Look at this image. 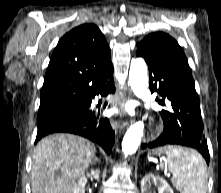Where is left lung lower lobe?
Instances as JSON below:
<instances>
[{
	"label": "left lung lower lobe",
	"instance_id": "left-lung-lower-lobe-1",
	"mask_svg": "<svg viewBox=\"0 0 221 193\" xmlns=\"http://www.w3.org/2000/svg\"><path fill=\"white\" fill-rule=\"evenodd\" d=\"M136 55L148 64L152 92L159 91L162 100L171 101L174 112L162 111L163 133L153 142L141 148H160L166 145H181L197 149L209 165V150L204 135L200 101L187 62L160 56L138 45ZM153 82H155L153 84Z\"/></svg>",
	"mask_w": 221,
	"mask_h": 193
}]
</instances>
